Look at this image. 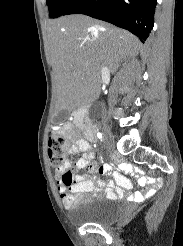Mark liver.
<instances>
[{"mask_svg": "<svg viewBox=\"0 0 183 246\" xmlns=\"http://www.w3.org/2000/svg\"><path fill=\"white\" fill-rule=\"evenodd\" d=\"M140 47L128 31L85 15L51 21L48 48L57 109H75L92 88L99 87L104 64L114 74L120 61L136 56Z\"/></svg>", "mask_w": 183, "mask_h": 246, "instance_id": "liver-1", "label": "liver"}]
</instances>
